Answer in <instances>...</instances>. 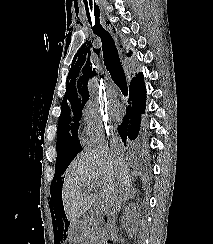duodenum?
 I'll list each match as a JSON object with an SVG mask.
<instances>
[{
	"instance_id": "duodenum-1",
	"label": "duodenum",
	"mask_w": 213,
	"mask_h": 244,
	"mask_svg": "<svg viewBox=\"0 0 213 244\" xmlns=\"http://www.w3.org/2000/svg\"><path fill=\"white\" fill-rule=\"evenodd\" d=\"M104 221L107 223V224H109V222H110V217H109V215H108V211H106V213H105V215H104Z\"/></svg>"
}]
</instances>
